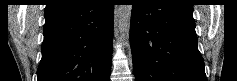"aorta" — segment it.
I'll return each mask as SVG.
<instances>
[{"mask_svg":"<svg viewBox=\"0 0 237 81\" xmlns=\"http://www.w3.org/2000/svg\"><path fill=\"white\" fill-rule=\"evenodd\" d=\"M118 29L123 45H128L130 38V22L132 5H118L117 7Z\"/></svg>","mask_w":237,"mask_h":81,"instance_id":"obj_1","label":"aorta"}]
</instances>
